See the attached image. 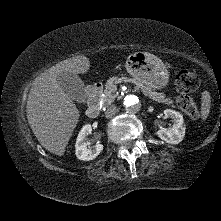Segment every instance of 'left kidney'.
Returning <instances> with one entry per match:
<instances>
[{
	"mask_svg": "<svg viewBox=\"0 0 221 221\" xmlns=\"http://www.w3.org/2000/svg\"><path fill=\"white\" fill-rule=\"evenodd\" d=\"M166 118H171L174 122L171 129H160L156 132L158 137L163 141L170 144L180 143L185 136V125L183 121V116L174 110L166 109L164 111Z\"/></svg>",
	"mask_w": 221,
	"mask_h": 221,
	"instance_id": "1",
	"label": "left kidney"
}]
</instances>
